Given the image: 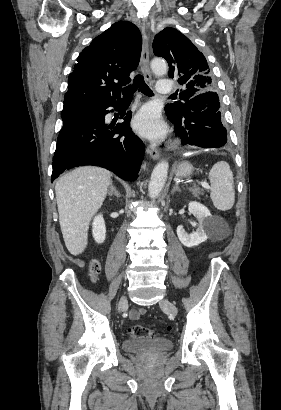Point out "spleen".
<instances>
[{
    "label": "spleen",
    "mask_w": 281,
    "mask_h": 410,
    "mask_svg": "<svg viewBox=\"0 0 281 410\" xmlns=\"http://www.w3.org/2000/svg\"><path fill=\"white\" fill-rule=\"evenodd\" d=\"M210 197L213 205L221 211L229 210L235 202L233 173L225 161L213 165L209 172Z\"/></svg>",
    "instance_id": "1"
}]
</instances>
